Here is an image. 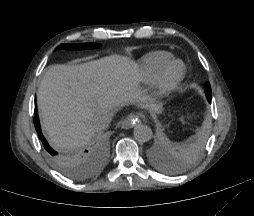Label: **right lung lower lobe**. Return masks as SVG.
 I'll return each mask as SVG.
<instances>
[{
  "instance_id": "1",
  "label": "right lung lower lobe",
  "mask_w": 254,
  "mask_h": 216,
  "mask_svg": "<svg viewBox=\"0 0 254 216\" xmlns=\"http://www.w3.org/2000/svg\"><path fill=\"white\" fill-rule=\"evenodd\" d=\"M34 126L36 128V131L38 133V137L40 138V140L42 141L43 143V146L45 148V150L50 154V155H53V156H58V153L53 150L49 145H48V142L46 141V139L44 138V136L42 135L41 133V128H40V123H39V117L37 115V110H35V117H34Z\"/></svg>"
}]
</instances>
